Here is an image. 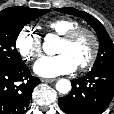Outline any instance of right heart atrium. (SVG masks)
I'll return each mask as SVG.
<instances>
[{"instance_id": "right-heart-atrium-1", "label": "right heart atrium", "mask_w": 114, "mask_h": 114, "mask_svg": "<svg viewBox=\"0 0 114 114\" xmlns=\"http://www.w3.org/2000/svg\"><path fill=\"white\" fill-rule=\"evenodd\" d=\"M15 48L25 61H32L42 53L40 34L31 26H24L17 34Z\"/></svg>"}]
</instances>
